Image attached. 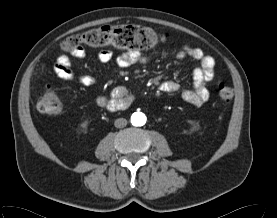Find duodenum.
Segmentation results:
<instances>
[{
	"label": "duodenum",
	"mask_w": 277,
	"mask_h": 218,
	"mask_svg": "<svg viewBox=\"0 0 277 218\" xmlns=\"http://www.w3.org/2000/svg\"><path fill=\"white\" fill-rule=\"evenodd\" d=\"M97 103L101 107H107L110 106L114 111L121 110L129 106L131 103V96L130 95H125L124 97H120L114 101H109L103 96H99L97 98Z\"/></svg>",
	"instance_id": "duodenum-1"
}]
</instances>
